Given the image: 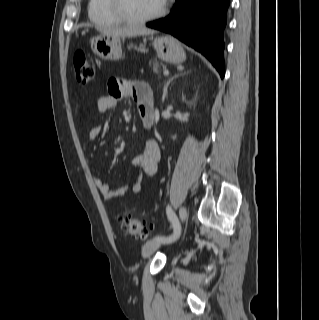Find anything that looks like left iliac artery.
Here are the masks:
<instances>
[{
  "instance_id": "1",
  "label": "left iliac artery",
  "mask_w": 319,
  "mask_h": 320,
  "mask_svg": "<svg viewBox=\"0 0 319 320\" xmlns=\"http://www.w3.org/2000/svg\"><path fill=\"white\" fill-rule=\"evenodd\" d=\"M166 212H167V216H168L170 222L172 223L173 233L167 237L156 236L154 239L161 242V243L169 244V243L176 241V239L180 237L181 226H180V223L178 221L176 214L173 212L172 208L169 205L166 207Z\"/></svg>"
}]
</instances>
